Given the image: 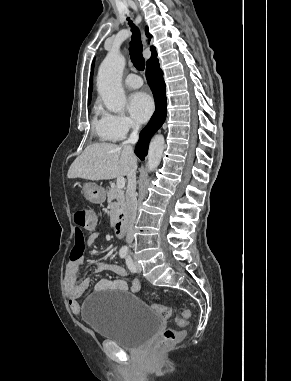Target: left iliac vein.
Segmentation results:
<instances>
[{"label":"left iliac vein","mask_w":291,"mask_h":381,"mask_svg":"<svg viewBox=\"0 0 291 381\" xmlns=\"http://www.w3.org/2000/svg\"><path fill=\"white\" fill-rule=\"evenodd\" d=\"M134 266H135V272L140 273L142 271V267L137 261H135Z\"/></svg>","instance_id":"1"}]
</instances>
